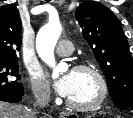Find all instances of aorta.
<instances>
[{
    "label": "aorta",
    "mask_w": 133,
    "mask_h": 118,
    "mask_svg": "<svg viewBox=\"0 0 133 118\" xmlns=\"http://www.w3.org/2000/svg\"><path fill=\"white\" fill-rule=\"evenodd\" d=\"M61 34V25L57 23H48L44 25L38 32L36 37V49L40 58L53 68L52 77L57 78L59 72L64 71L67 66L65 64L55 63L54 49Z\"/></svg>",
    "instance_id": "1"
}]
</instances>
